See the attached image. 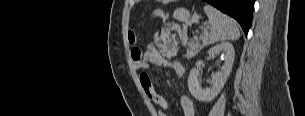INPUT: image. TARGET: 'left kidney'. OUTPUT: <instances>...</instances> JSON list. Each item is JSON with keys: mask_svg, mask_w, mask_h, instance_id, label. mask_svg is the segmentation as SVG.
<instances>
[{"mask_svg": "<svg viewBox=\"0 0 305 116\" xmlns=\"http://www.w3.org/2000/svg\"><path fill=\"white\" fill-rule=\"evenodd\" d=\"M209 57L221 54L224 64L221 69L212 74V87L202 89L198 84L199 69H192L188 77V88L191 95L198 101L210 102L220 93L224 87L233 67L235 50L231 43L223 42L208 51Z\"/></svg>", "mask_w": 305, "mask_h": 116, "instance_id": "obj_1", "label": "left kidney"}]
</instances>
